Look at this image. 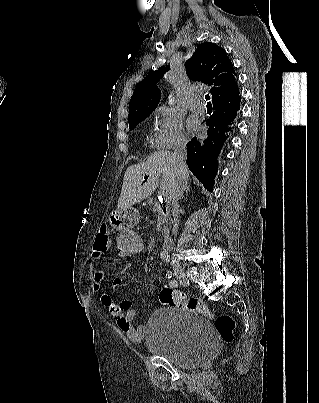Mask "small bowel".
Returning a JSON list of instances; mask_svg holds the SVG:
<instances>
[{
  "label": "small bowel",
  "mask_w": 319,
  "mask_h": 403,
  "mask_svg": "<svg viewBox=\"0 0 319 403\" xmlns=\"http://www.w3.org/2000/svg\"><path fill=\"white\" fill-rule=\"evenodd\" d=\"M136 234V233H135ZM110 245L109 231L106 227H101L94 243L91 257L94 260H98L108 250ZM160 258L163 261L168 260V254L166 252L160 253ZM95 280L97 283L95 287L97 290H102L105 273L102 269L95 270ZM123 285V279L118 277L113 280V287L115 289L121 288ZM170 287H174L173 282L169 284ZM102 304L108 308L110 314L115 318L118 327L128 337V339L134 343H140L143 341L146 334V327L144 325L134 326L132 323L136 310L133 303L129 300L122 301L121 303H115L112 297L108 293H103L101 296Z\"/></svg>",
  "instance_id": "c3829d8e"
}]
</instances>
